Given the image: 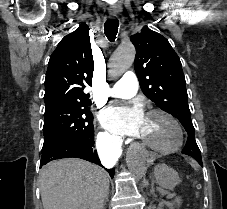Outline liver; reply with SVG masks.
Here are the masks:
<instances>
[{"label": "liver", "instance_id": "liver-1", "mask_svg": "<svg viewBox=\"0 0 227 209\" xmlns=\"http://www.w3.org/2000/svg\"><path fill=\"white\" fill-rule=\"evenodd\" d=\"M43 209H103L107 173L82 159L51 161L40 171Z\"/></svg>", "mask_w": 227, "mask_h": 209}]
</instances>
